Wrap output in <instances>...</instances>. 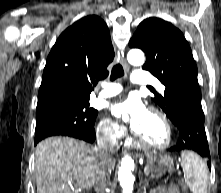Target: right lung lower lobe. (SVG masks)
I'll use <instances>...</instances> for the list:
<instances>
[{
    "label": "right lung lower lobe",
    "mask_w": 221,
    "mask_h": 193,
    "mask_svg": "<svg viewBox=\"0 0 221 193\" xmlns=\"http://www.w3.org/2000/svg\"><path fill=\"white\" fill-rule=\"evenodd\" d=\"M65 136H70V137L79 138V139L85 140V141L90 142V143L94 142V140H95V138H96V135H95V134H92V135H84V134L69 133V134H65ZM40 140H42V139L35 140L34 145H36Z\"/></svg>",
    "instance_id": "right-lung-lower-lobe-1"
}]
</instances>
